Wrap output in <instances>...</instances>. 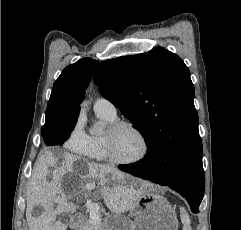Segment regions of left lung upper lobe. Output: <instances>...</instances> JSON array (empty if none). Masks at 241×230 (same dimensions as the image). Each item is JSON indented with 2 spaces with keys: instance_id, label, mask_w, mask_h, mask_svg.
Wrapping results in <instances>:
<instances>
[{
  "instance_id": "5c2ea615",
  "label": "left lung upper lobe",
  "mask_w": 241,
  "mask_h": 230,
  "mask_svg": "<svg viewBox=\"0 0 241 230\" xmlns=\"http://www.w3.org/2000/svg\"><path fill=\"white\" fill-rule=\"evenodd\" d=\"M93 79L102 95L140 131L148 148L163 146L173 177L202 156L194 85L179 56L157 47L106 60Z\"/></svg>"
}]
</instances>
